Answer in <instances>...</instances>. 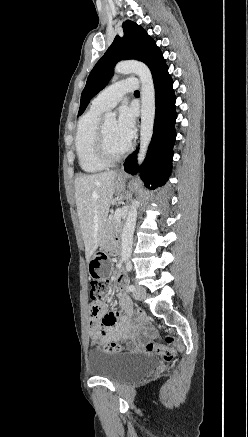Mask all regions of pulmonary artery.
<instances>
[{"mask_svg":"<svg viewBox=\"0 0 248 437\" xmlns=\"http://www.w3.org/2000/svg\"><path fill=\"white\" fill-rule=\"evenodd\" d=\"M139 81L135 77H129L117 81L101 91L92 101V106L101 110L113 108L122 97L138 88Z\"/></svg>","mask_w":248,"mask_h":437,"instance_id":"1","label":"pulmonary artery"}]
</instances>
